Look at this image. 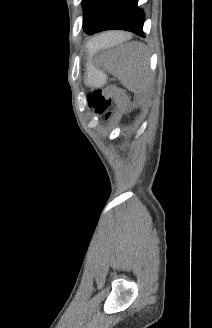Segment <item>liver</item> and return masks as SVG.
<instances>
[{"mask_svg": "<svg viewBox=\"0 0 212 328\" xmlns=\"http://www.w3.org/2000/svg\"><path fill=\"white\" fill-rule=\"evenodd\" d=\"M111 37L117 42L126 41L131 38V35L122 32H112Z\"/></svg>", "mask_w": 212, "mask_h": 328, "instance_id": "obj_1", "label": "liver"}]
</instances>
